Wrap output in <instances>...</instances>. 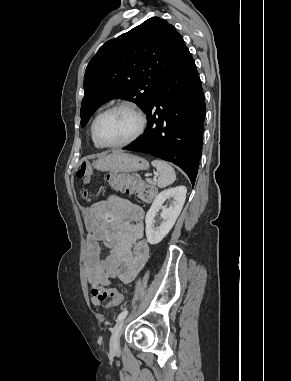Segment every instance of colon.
Masks as SVG:
<instances>
[{"instance_id":"obj_1","label":"colon","mask_w":291,"mask_h":381,"mask_svg":"<svg viewBox=\"0 0 291 381\" xmlns=\"http://www.w3.org/2000/svg\"><path fill=\"white\" fill-rule=\"evenodd\" d=\"M86 174V166H81L76 172L78 178H83ZM108 182L114 188L136 196L139 200L150 202L155 196V189L152 185L123 173L111 174ZM92 295L99 301H107L110 307L119 305L122 301V295L116 288H105L103 286H94Z\"/></svg>"}]
</instances>
